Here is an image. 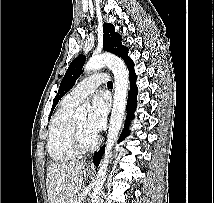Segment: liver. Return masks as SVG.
Returning <instances> with one entry per match:
<instances>
[{
  "instance_id": "liver-1",
  "label": "liver",
  "mask_w": 214,
  "mask_h": 203,
  "mask_svg": "<svg viewBox=\"0 0 214 203\" xmlns=\"http://www.w3.org/2000/svg\"><path fill=\"white\" fill-rule=\"evenodd\" d=\"M84 162L51 163L47 168L46 187L49 203H67L83 184Z\"/></svg>"
}]
</instances>
